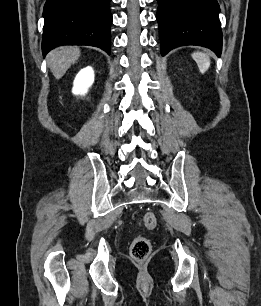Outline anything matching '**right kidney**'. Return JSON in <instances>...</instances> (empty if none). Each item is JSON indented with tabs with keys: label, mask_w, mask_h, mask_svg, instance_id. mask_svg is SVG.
I'll list each match as a JSON object with an SVG mask.
<instances>
[{
	"label": "right kidney",
	"mask_w": 261,
	"mask_h": 306,
	"mask_svg": "<svg viewBox=\"0 0 261 306\" xmlns=\"http://www.w3.org/2000/svg\"><path fill=\"white\" fill-rule=\"evenodd\" d=\"M94 82V71L91 67H86L76 75L72 92L75 95H85Z\"/></svg>",
	"instance_id": "obj_1"
}]
</instances>
